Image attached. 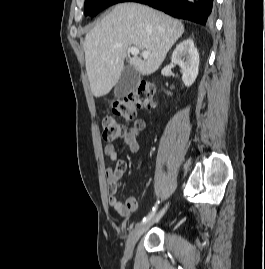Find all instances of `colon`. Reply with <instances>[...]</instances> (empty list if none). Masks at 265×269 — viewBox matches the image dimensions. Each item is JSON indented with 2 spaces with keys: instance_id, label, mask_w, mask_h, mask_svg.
Returning <instances> with one entry per match:
<instances>
[{
  "instance_id": "5ec220e1",
  "label": "colon",
  "mask_w": 265,
  "mask_h": 269,
  "mask_svg": "<svg viewBox=\"0 0 265 269\" xmlns=\"http://www.w3.org/2000/svg\"><path fill=\"white\" fill-rule=\"evenodd\" d=\"M154 93V85L148 81H142L128 96L115 101L112 111L115 116L126 121H133L136 119L138 110L152 106ZM102 126L103 139L106 142H112L126 134L125 125L114 116L104 117Z\"/></svg>"
}]
</instances>
